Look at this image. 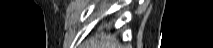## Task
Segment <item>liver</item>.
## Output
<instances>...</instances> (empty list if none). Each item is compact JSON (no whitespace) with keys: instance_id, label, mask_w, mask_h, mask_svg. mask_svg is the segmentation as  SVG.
Returning <instances> with one entry per match:
<instances>
[{"instance_id":"6515ba94","label":"liver","mask_w":213,"mask_h":48,"mask_svg":"<svg viewBox=\"0 0 213 48\" xmlns=\"http://www.w3.org/2000/svg\"><path fill=\"white\" fill-rule=\"evenodd\" d=\"M85 48H116V44L109 42H99L95 38H90L86 41Z\"/></svg>"}]
</instances>
